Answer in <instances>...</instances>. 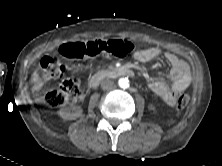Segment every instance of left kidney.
Returning a JSON list of instances; mask_svg holds the SVG:
<instances>
[{
	"label": "left kidney",
	"instance_id": "5707ae66",
	"mask_svg": "<svg viewBox=\"0 0 222 166\" xmlns=\"http://www.w3.org/2000/svg\"><path fill=\"white\" fill-rule=\"evenodd\" d=\"M151 110H153V111H154V110H155V108H154V107H151Z\"/></svg>",
	"mask_w": 222,
	"mask_h": 166
}]
</instances>
